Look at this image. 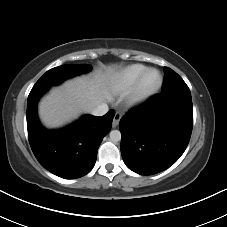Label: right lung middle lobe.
I'll return each instance as SVG.
<instances>
[{
	"mask_svg": "<svg viewBox=\"0 0 227 227\" xmlns=\"http://www.w3.org/2000/svg\"><path fill=\"white\" fill-rule=\"evenodd\" d=\"M91 69L89 65H64L55 67L44 73L33 86L29 97L46 92L52 85H57L63 80L88 72Z\"/></svg>",
	"mask_w": 227,
	"mask_h": 227,
	"instance_id": "right-lung-middle-lobe-1",
	"label": "right lung middle lobe"
}]
</instances>
